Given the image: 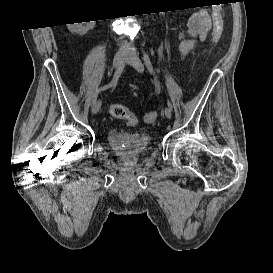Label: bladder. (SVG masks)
<instances>
[{
    "label": "bladder",
    "instance_id": "1",
    "mask_svg": "<svg viewBox=\"0 0 273 273\" xmlns=\"http://www.w3.org/2000/svg\"><path fill=\"white\" fill-rule=\"evenodd\" d=\"M107 145L114 156L132 161L142 156L151 145L149 135L111 128L106 133Z\"/></svg>",
    "mask_w": 273,
    "mask_h": 273
}]
</instances>
